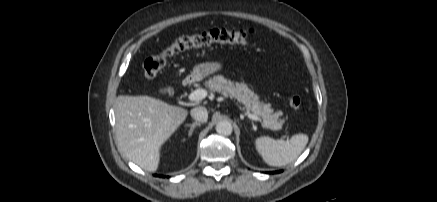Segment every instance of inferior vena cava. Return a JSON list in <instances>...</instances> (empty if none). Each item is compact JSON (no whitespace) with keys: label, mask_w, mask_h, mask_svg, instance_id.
<instances>
[{"label":"inferior vena cava","mask_w":437,"mask_h":202,"mask_svg":"<svg viewBox=\"0 0 437 202\" xmlns=\"http://www.w3.org/2000/svg\"><path fill=\"white\" fill-rule=\"evenodd\" d=\"M190 114L192 118L202 123L206 122L208 119L207 109L203 106L193 108Z\"/></svg>","instance_id":"1"}]
</instances>
